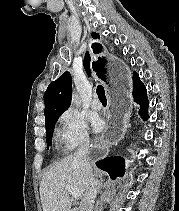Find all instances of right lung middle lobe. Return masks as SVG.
<instances>
[{"label":"right lung middle lobe","mask_w":179,"mask_h":211,"mask_svg":"<svg viewBox=\"0 0 179 211\" xmlns=\"http://www.w3.org/2000/svg\"><path fill=\"white\" fill-rule=\"evenodd\" d=\"M59 116H55L45 122L46 125V142L47 146L52 144V135H53V130L55 123L57 122Z\"/></svg>","instance_id":"right-lung-middle-lobe-1"}]
</instances>
